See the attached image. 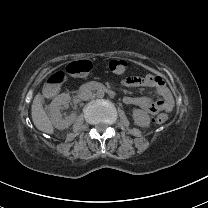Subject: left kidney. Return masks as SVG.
Returning <instances> with one entry per match:
<instances>
[{"instance_id": "1", "label": "left kidney", "mask_w": 208, "mask_h": 208, "mask_svg": "<svg viewBox=\"0 0 208 208\" xmlns=\"http://www.w3.org/2000/svg\"><path fill=\"white\" fill-rule=\"evenodd\" d=\"M133 119L135 125L140 127H148L150 125V116L144 110L134 109Z\"/></svg>"}]
</instances>
